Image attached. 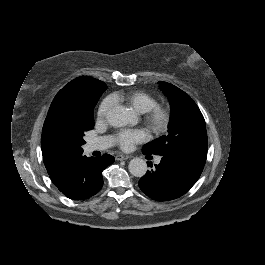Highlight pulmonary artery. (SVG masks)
Instances as JSON below:
<instances>
[{"mask_svg": "<svg viewBox=\"0 0 265 265\" xmlns=\"http://www.w3.org/2000/svg\"><path fill=\"white\" fill-rule=\"evenodd\" d=\"M112 146V142L109 138H97L94 140H91L89 143V149L91 151H103ZM161 160L160 157L156 158L155 162L159 163Z\"/></svg>", "mask_w": 265, "mask_h": 265, "instance_id": "pulmonary-artery-1", "label": "pulmonary artery"}]
</instances>
